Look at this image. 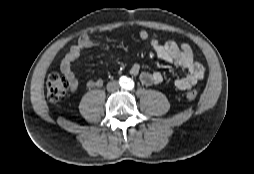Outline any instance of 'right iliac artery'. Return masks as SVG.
<instances>
[{
  "label": "right iliac artery",
  "mask_w": 254,
  "mask_h": 174,
  "mask_svg": "<svg viewBox=\"0 0 254 174\" xmlns=\"http://www.w3.org/2000/svg\"><path fill=\"white\" fill-rule=\"evenodd\" d=\"M120 81H121V82H124V81H126V78H125V77H121V78H120Z\"/></svg>",
  "instance_id": "obj_1"
}]
</instances>
